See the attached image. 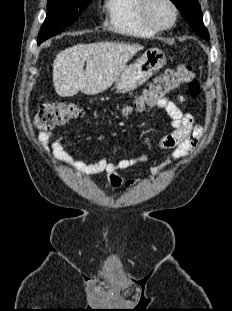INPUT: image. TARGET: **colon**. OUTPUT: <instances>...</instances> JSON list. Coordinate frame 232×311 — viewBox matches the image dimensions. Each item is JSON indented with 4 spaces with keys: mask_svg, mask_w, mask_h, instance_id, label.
<instances>
[{
    "mask_svg": "<svg viewBox=\"0 0 232 311\" xmlns=\"http://www.w3.org/2000/svg\"><path fill=\"white\" fill-rule=\"evenodd\" d=\"M182 86L186 88L188 95L191 97L198 96L200 88L191 65H180L177 68L166 69L133 100L126 112H140L152 107L169 93ZM79 115V108L72 103H46L40 107L34 116L33 125L38 130H47L62 125Z\"/></svg>",
    "mask_w": 232,
    "mask_h": 311,
    "instance_id": "obj_1",
    "label": "colon"
}]
</instances>
